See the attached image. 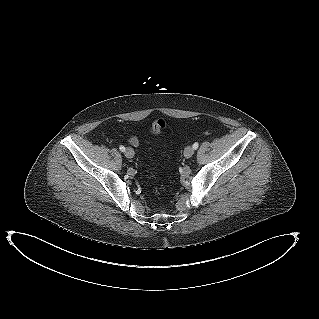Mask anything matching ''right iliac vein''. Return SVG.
<instances>
[{
	"label": "right iliac vein",
	"mask_w": 319,
	"mask_h": 319,
	"mask_svg": "<svg viewBox=\"0 0 319 319\" xmlns=\"http://www.w3.org/2000/svg\"><path fill=\"white\" fill-rule=\"evenodd\" d=\"M134 154H135L134 150L132 148H130V147L125 150V156L127 158H133Z\"/></svg>",
	"instance_id": "63e3f726"
}]
</instances>
